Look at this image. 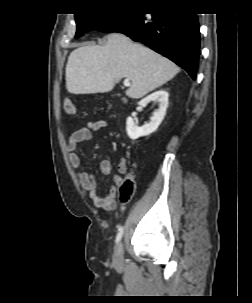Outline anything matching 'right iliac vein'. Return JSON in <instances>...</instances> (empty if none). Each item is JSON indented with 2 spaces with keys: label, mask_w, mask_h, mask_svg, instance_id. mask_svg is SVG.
Listing matches in <instances>:
<instances>
[{
  "label": "right iliac vein",
  "mask_w": 252,
  "mask_h": 303,
  "mask_svg": "<svg viewBox=\"0 0 252 303\" xmlns=\"http://www.w3.org/2000/svg\"><path fill=\"white\" fill-rule=\"evenodd\" d=\"M123 254H124L123 243L120 241L116 244V246L114 248V253H113V262L116 265L122 264Z\"/></svg>",
  "instance_id": "obj_1"
}]
</instances>
